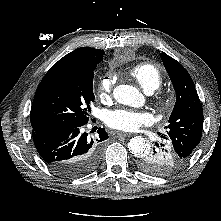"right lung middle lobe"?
<instances>
[{"mask_svg": "<svg viewBox=\"0 0 221 221\" xmlns=\"http://www.w3.org/2000/svg\"><path fill=\"white\" fill-rule=\"evenodd\" d=\"M103 59H89L73 68L46 74L34 96L31 120L44 127H76L88 123L94 101V69Z\"/></svg>", "mask_w": 221, "mask_h": 221, "instance_id": "right-lung-middle-lobe-1", "label": "right lung middle lobe"}]
</instances>
